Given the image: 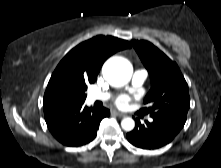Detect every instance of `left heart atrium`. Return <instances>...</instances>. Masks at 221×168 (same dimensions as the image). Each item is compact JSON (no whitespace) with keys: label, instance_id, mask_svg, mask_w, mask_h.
<instances>
[{"label":"left heart atrium","instance_id":"39dd6f15","mask_svg":"<svg viewBox=\"0 0 221 168\" xmlns=\"http://www.w3.org/2000/svg\"><path fill=\"white\" fill-rule=\"evenodd\" d=\"M131 98L127 95H121L116 99V105L119 108H126L130 102Z\"/></svg>","mask_w":221,"mask_h":168}]
</instances>
